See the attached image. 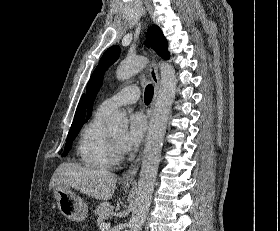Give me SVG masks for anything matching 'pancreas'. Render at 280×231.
<instances>
[{"instance_id":"pancreas-1","label":"pancreas","mask_w":280,"mask_h":231,"mask_svg":"<svg viewBox=\"0 0 280 231\" xmlns=\"http://www.w3.org/2000/svg\"><path fill=\"white\" fill-rule=\"evenodd\" d=\"M94 211H95L96 215H98L97 225H100V223H104V221H105V219H107V217H110V215H112L113 205H111V203H109V201H102V203H100V205H97V207H95Z\"/></svg>"}]
</instances>
